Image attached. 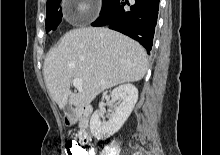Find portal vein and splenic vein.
<instances>
[{
  "instance_id": "portal-vein-and-splenic-vein-1",
  "label": "portal vein and splenic vein",
  "mask_w": 220,
  "mask_h": 155,
  "mask_svg": "<svg viewBox=\"0 0 220 155\" xmlns=\"http://www.w3.org/2000/svg\"><path fill=\"white\" fill-rule=\"evenodd\" d=\"M73 85L78 89L81 90L82 89V80L79 78H74L73 79Z\"/></svg>"
}]
</instances>
